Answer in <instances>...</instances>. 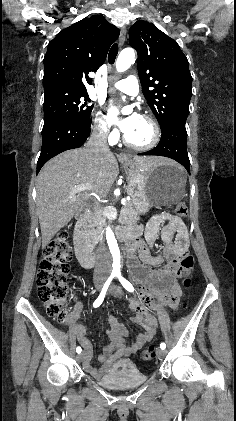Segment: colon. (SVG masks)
<instances>
[{
	"label": "colon",
	"mask_w": 236,
	"mask_h": 421,
	"mask_svg": "<svg viewBox=\"0 0 236 421\" xmlns=\"http://www.w3.org/2000/svg\"><path fill=\"white\" fill-rule=\"evenodd\" d=\"M176 213L185 217L188 213L187 206L179 203ZM68 232L62 230L48 243L44 250L37 274L38 297L42 301L46 313L60 323H66L71 313L66 305L69 291L67 276L69 262L72 258ZM195 260L191 253L181 255L179 274L184 287L191 284L190 274L194 268ZM154 357V351L147 348L142 352V358L146 361Z\"/></svg>",
	"instance_id": "5ec220e1"
}]
</instances>
